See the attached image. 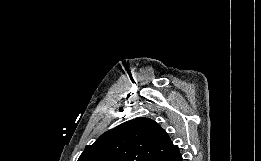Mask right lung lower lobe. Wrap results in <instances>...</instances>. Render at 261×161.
<instances>
[{"label": "right lung lower lobe", "instance_id": "1", "mask_svg": "<svg viewBox=\"0 0 261 161\" xmlns=\"http://www.w3.org/2000/svg\"><path fill=\"white\" fill-rule=\"evenodd\" d=\"M160 161H183V159H182L180 152L178 151L168 157L163 158Z\"/></svg>", "mask_w": 261, "mask_h": 161}]
</instances>
